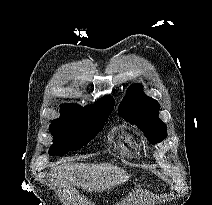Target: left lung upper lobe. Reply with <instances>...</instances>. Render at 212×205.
<instances>
[{
    "label": "left lung upper lobe",
    "instance_id": "obj_1",
    "mask_svg": "<svg viewBox=\"0 0 212 205\" xmlns=\"http://www.w3.org/2000/svg\"><path fill=\"white\" fill-rule=\"evenodd\" d=\"M159 109V103L146 96L140 84H134L127 90L118 112L125 120L136 124L149 141L158 143L167 136L166 124L158 117Z\"/></svg>",
    "mask_w": 212,
    "mask_h": 205
}]
</instances>
